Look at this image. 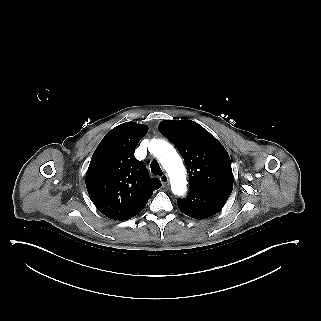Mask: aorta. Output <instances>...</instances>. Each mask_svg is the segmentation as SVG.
<instances>
[{
    "label": "aorta",
    "mask_w": 321,
    "mask_h": 321,
    "mask_svg": "<svg viewBox=\"0 0 321 321\" xmlns=\"http://www.w3.org/2000/svg\"><path fill=\"white\" fill-rule=\"evenodd\" d=\"M149 147L168 173L172 192L178 196L184 195L187 186L186 170L176 150L168 142L157 139Z\"/></svg>",
    "instance_id": "762f6f07"
}]
</instances>
